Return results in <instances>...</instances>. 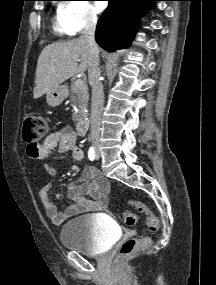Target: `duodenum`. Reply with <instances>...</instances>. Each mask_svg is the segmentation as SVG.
Wrapping results in <instances>:
<instances>
[{
  "mask_svg": "<svg viewBox=\"0 0 216 285\" xmlns=\"http://www.w3.org/2000/svg\"><path fill=\"white\" fill-rule=\"evenodd\" d=\"M89 128V120L86 117H82L78 121V130L80 132H85Z\"/></svg>",
  "mask_w": 216,
  "mask_h": 285,
  "instance_id": "obj_1",
  "label": "duodenum"
}]
</instances>
